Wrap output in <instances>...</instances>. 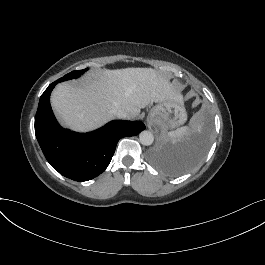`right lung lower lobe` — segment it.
<instances>
[{
	"label": "right lung lower lobe",
	"mask_w": 265,
	"mask_h": 265,
	"mask_svg": "<svg viewBox=\"0 0 265 265\" xmlns=\"http://www.w3.org/2000/svg\"><path fill=\"white\" fill-rule=\"evenodd\" d=\"M59 79L42 94L35 117V134L48 162L63 176L87 181L109 165L119 139L138 135L145 129L140 121H112L90 133L63 129L50 105V93Z\"/></svg>",
	"instance_id": "obj_1"
}]
</instances>
